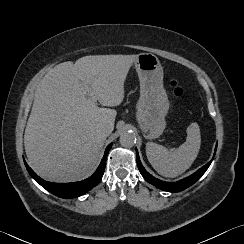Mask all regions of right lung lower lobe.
Returning a JSON list of instances; mask_svg holds the SVG:
<instances>
[{
	"mask_svg": "<svg viewBox=\"0 0 244 244\" xmlns=\"http://www.w3.org/2000/svg\"><path fill=\"white\" fill-rule=\"evenodd\" d=\"M111 146L112 143L109 144L108 147L106 148L103 159L101 160L100 165L97 168L96 172L91 177L80 182H72V183L47 182L41 179L39 176H37L36 173L27 165L25 161L24 163L31 177L37 183H39L43 188H45L46 190H48L49 192H51L52 194L60 198H64V199L76 198L85 194L100 182L104 174V170L106 166V158Z\"/></svg>",
	"mask_w": 244,
	"mask_h": 244,
	"instance_id": "1",
	"label": "right lung lower lobe"
}]
</instances>
